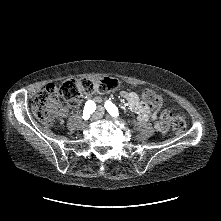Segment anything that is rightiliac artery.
Returning <instances> with one entry per match:
<instances>
[{"label":"right iliac artery","mask_w":221,"mask_h":221,"mask_svg":"<svg viewBox=\"0 0 221 221\" xmlns=\"http://www.w3.org/2000/svg\"><path fill=\"white\" fill-rule=\"evenodd\" d=\"M96 110V104L94 101L89 100L86 102L83 110V119L88 120L90 115Z\"/></svg>","instance_id":"82829eb1"}]
</instances>
